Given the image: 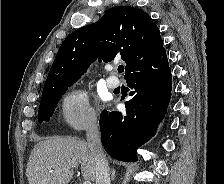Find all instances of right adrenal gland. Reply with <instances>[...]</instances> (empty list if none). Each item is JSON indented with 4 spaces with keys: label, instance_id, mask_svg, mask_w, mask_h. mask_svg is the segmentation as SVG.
I'll list each match as a JSON object with an SVG mask.
<instances>
[{
    "label": "right adrenal gland",
    "instance_id": "2a0ac1e0",
    "mask_svg": "<svg viewBox=\"0 0 224 184\" xmlns=\"http://www.w3.org/2000/svg\"><path fill=\"white\" fill-rule=\"evenodd\" d=\"M111 179H112V181H114V179H115V170L114 169L111 170Z\"/></svg>",
    "mask_w": 224,
    "mask_h": 184
}]
</instances>
